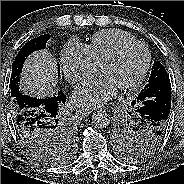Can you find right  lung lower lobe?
Masks as SVG:
<instances>
[{"label": "right lung lower lobe", "instance_id": "right-lung-lower-lobe-1", "mask_svg": "<svg viewBox=\"0 0 184 184\" xmlns=\"http://www.w3.org/2000/svg\"><path fill=\"white\" fill-rule=\"evenodd\" d=\"M11 101L15 126L21 140L45 142L48 119L62 112L66 95L58 91L56 96L37 99L19 91L12 95Z\"/></svg>", "mask_w": 184, "mask_h": 184}]
</instances>
